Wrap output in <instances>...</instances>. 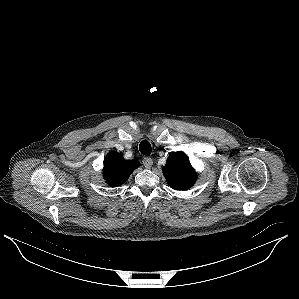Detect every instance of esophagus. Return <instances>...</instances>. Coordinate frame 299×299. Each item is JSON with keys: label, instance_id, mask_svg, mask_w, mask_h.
<instances>
[{"label": "esophagus", "instance_id": "obj_1", "mask_svg": "<svg viewBox=\"0 0 299 299\" xmlns=\"http://www.w3.org/2000/svg\"><path fill=\"white\" fill-rule=\"evenodd\" d=\"M143 165L145 166V168L150 169L153 165V160L149 157H145L143 159Z\"/></svg>", "mask_w": 299, "mask_h": 299}]
</instances>
